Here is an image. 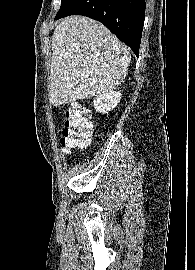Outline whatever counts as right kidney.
<instances>
[{
    "instance_id": "1",
    "label": "right kidney",
    "mask_w": 195,
    "mask_h": 270,
    "mask_svg": "<svg viewBox=\"0 0 195 270\" xmlns=\"http://www.w3.org/2000/svg\"><path fill=\"white\" fill-rule=\"evenodd\" d=\"M122 94L119 91H111L100 95L93 101L94 109L102 114H108L112 109L117 107L120 102Z\"/></svg>"
}]
</instances>
